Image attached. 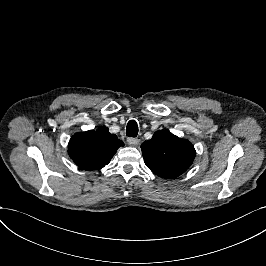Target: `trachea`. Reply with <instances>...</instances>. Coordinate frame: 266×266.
Here are the masks:
<instances>
[{"instance_id":"trachea-1","label":"trachea","mask_w":266,"mask_h":266,"mask_svg":"<svg viewBox=\"0 0 266 266\" xmlns=\"http://www.w3.org/2000/svg\"><path fill=\"white\" fill-rule=\"evenodd\" d=\"M138 134V125L134 120H130L127 124L126 135L129 137H136Z\"/></svg>"}]
</instances>
